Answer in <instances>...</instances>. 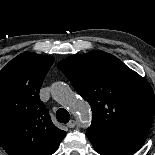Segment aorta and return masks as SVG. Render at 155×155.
<instances>
[{
    "mask_svg": "<svg viewBox=\"0 0 155 155\" xmlns=\"http://www.w3.org/2000/svg\"><path fill=\"white\" fill-rule=\"evenodd\" d=\"M51 93L56 101L66 104L73 113L78 115L80 122L84 127L90 125L91 111L89 104L83 99L77 98L68 84L64 82L54 83L52 85Z\"/></svg>",
    "mask_w": 155,
    "mask_h": 155,
    "instance_id": "762f6f07",
    "label": "aorta"
}]
</instances>
